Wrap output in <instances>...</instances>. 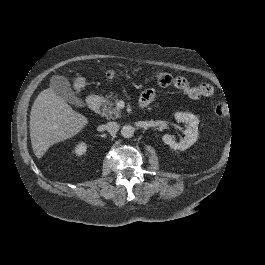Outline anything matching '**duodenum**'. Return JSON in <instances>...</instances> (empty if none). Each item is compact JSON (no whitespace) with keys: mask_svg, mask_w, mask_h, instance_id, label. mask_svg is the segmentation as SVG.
Returning a JSON list of instances; mask_svg holds the SVG:
<instances>
[{"mask_svg":"<svg viewBox=\"0 0 265 265\" xmlns=\"http://www.w3.org/2000/svg\"><path fill=\"white\" fill-rule=\"evenodd\" d=\"M86 105L89 110L97 111L101 105V97L98 95H91L87 98Z\"/></svg>","mask_w":265,"mask_h":265,"instance_id":"obj_1","label":"duodenum"}]
</instances>
